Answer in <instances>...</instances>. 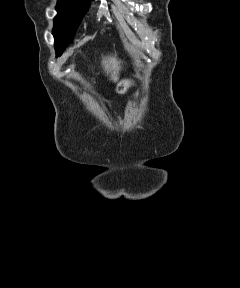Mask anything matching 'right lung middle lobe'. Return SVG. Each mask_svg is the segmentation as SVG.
I'll return each mask as SVG.
<instances>
[{
  "mask_svg": "<svg viewBox=\"0 0 240 288\" xmlns=\"http://www.w3.org/2000/svg\"><path fill=\"white\" fill-rule=\"evenodd\" d=\"M89 7L87 0H59L58 15L54 18L53 35L58 55L72 42L76 29Z\"/></svg>",
  "mask_w": 240,
  "mask_h": 288,
  "instance_id": "1",
  "label": "right lung middle lobe"
}]
</instances>
